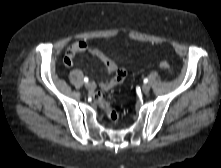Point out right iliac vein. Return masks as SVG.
Returning <instances> with one entry per match:
<instances>
[{"instance_id":"obj_1","label":"right iliac vein","mask_w":221,"mask_h":168,"mask_svg":"<svg viewBox=\"0 0 221 168\" xmlns=\"http://www.w3.org/2000/svg\"><path fill=\"white\" fill-rule=\"evenodd\" d=\"M85 87L88 89V90H92L94 88V83L92 82H87L85 84Z\"/></svg>"}]
</instances>
